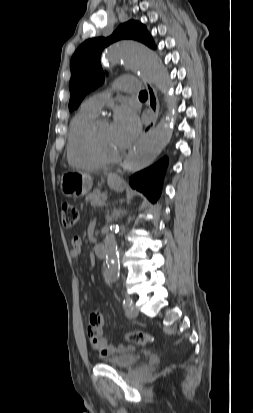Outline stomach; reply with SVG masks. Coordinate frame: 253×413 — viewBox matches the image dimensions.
<instances>
[{
  "mask_svg": "<svg viewBox=\"0 0 253 413\" xmlns=\"http://www.w3.org/2000/svg\"><path fill=\"white\" fill-rule=\"evenodd\" d=\"M109 186L120 192L123 190L121 181H109ZM61 191L67 197H82L92 188V178L89 174L83 172H65L61 177Z\"/></svg>",
  "mask_w": 253,
  "mask_h": 413,
  "instance_id": "1",
  "label": "stomach"
}]
</instances>
